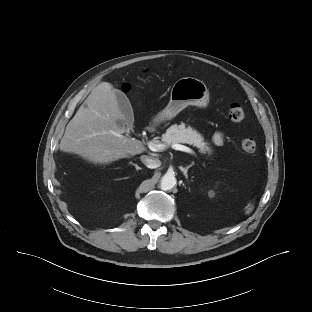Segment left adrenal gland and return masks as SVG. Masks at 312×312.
Returning a JSON list of instances; mask_svg holds the SVG:
<instances>
[{"mask_svg":"<svg viewBox=\"0 0 312 312\" xmlns=\"http://www.w3.org/2000/svg\"><path fill=\"white\" fill-rule=\"evenodd\" d=\"M194 165V163H191L190 165H188L186 168L180 166V170L184 173L186 179L188 178V169L191 168Z\"/></svg>","mask_w":312,"mask_h":312,"instance_id":"left-adrenal-gland-1","label":"left adrenal gland"}]
</instances>
